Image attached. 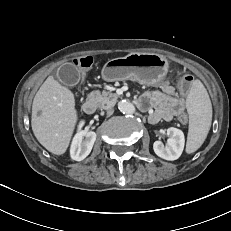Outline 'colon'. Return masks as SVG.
Instances as JSON below:
<instances>
[{
    "mask_svg": "<svg viewBox=\"0 0 231 231\" xmlns=\"http://www.w3.org/2000/svg\"><path fill=\"white\" fill-rule=\"evenodd\" d=\"M93 64V57L92 56H83L78 57L74 60V65L80 69L78 78L81 81H85L88 78V71L87 69L90 68ZM194 78L191 75H185L181 78L179 82V90L182 94H187L192 87ZM181 123L187 122L186 115L180 117Z\"/></svg>",
    "mask_w": 231,
    "mask_h": 231,
    "instance_id": "colon-1",
    "label": "colon"
}]
</instances>
